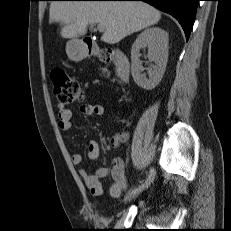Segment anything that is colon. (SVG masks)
<instances>
[{
  "mask_svg": "<svg viewBox=\"0 0 231 231\" xmlns=\"http://www.w3.org/2000/svg\"><path fill=\"white\" fill-rule=\"evenodd\" d=\"M110 55L109 52H106L104 57L110 58ZM51 80L54 86V94L61 105L76 103L83 99L82 87L64 69L52 70Z\"/></svg>",
  "mask_w": 231,
  "mask_h": 231,
  "instance_id": "1",
  "label": "colon"
}]
</instances>
